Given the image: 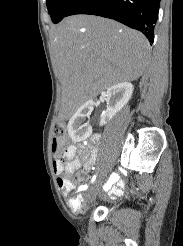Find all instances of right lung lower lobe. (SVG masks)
<instances>
[{"label":"right lung lower lobe","mask_w":183,"mask_h":246,"mask_svg":"<svg viewBox=\"0 0 183 246\" xmlns=\"http://www.w3.org/2000/svg\"><path fill=\"white\" fill-rule=\"evenodd\" d=\"M160 0H77L66 16L98 15L121 22L142 32L154 42V28Z\"/></svg>","instance_id":"1"}]
</instances>
